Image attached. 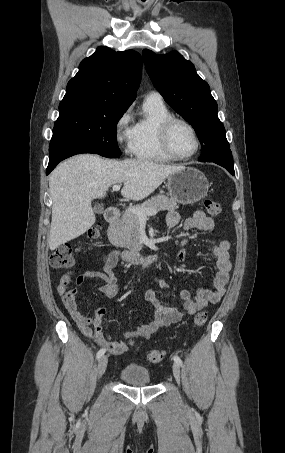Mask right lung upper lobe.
Here are the masks:
<instances>
[{
	"label": "right lung upper lobe",
	"mask_w": 285,
	"mask_h": 453,
	"mask_svg": "<svg viewBox=\"0 0 285 453\" xmlns=\"http://www.w3.org/2000/svg\"><path fill=\"white\" fill-rule=\"evenodd\" d=\"M141 70L142 58L136 51L98 47L82 60L61 102H103L128 108L136 98Z\"/></svg>",
	"instance_id": "1"
}]
</instances>
